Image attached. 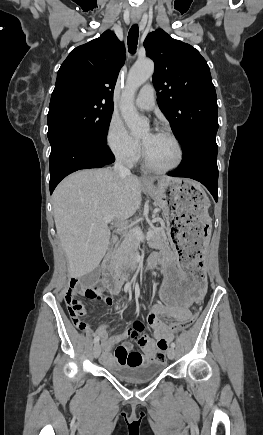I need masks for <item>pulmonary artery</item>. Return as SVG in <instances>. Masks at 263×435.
<instances>
[{"label": "pulmonary artery", "mask_w": 263, "mask_h": 435, "mask_svg": "<svg viewBox=\"0 0 263 435\" xmlns=\"http://www.w3.org/2000/svg\"><path fill=\"white\" fill-rule=\"evenodd\" d=\"M135 104L142 110L150 111L155 108L154 89L151 85H144L137 97L135 98Z\"/></svg>", "instance_id": "1"}]
</instances>
